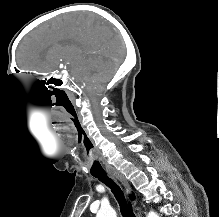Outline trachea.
<instances>
[{"instance_id":"1","label":"trachea","mask_w":219,"mask_h":217,"mask_svg":"<svg viewBox=\"0 0 219 217\" xmlns=\"http://www.w3.org/2000/svg\"><path fill=\"white\" fill-rule=\"evenodd\" d=\"M92 176L98 178L102 183L108 186L119 203L120 211L123 217H136L132 206L127 202L121 187L104 170L100 172H91Z\"/></svg>"}]
</instances>
